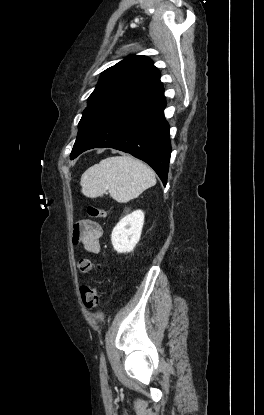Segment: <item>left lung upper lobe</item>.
<instances>
[{
  "instance_id": "obj_1",
  "label": "left lung upper lobe",
  "mask_w": 264,
  "mask_h": 415,
  "mask_svg": "<svg viewBox=\"0 0 264 415\" xmlns=\"http://www.w3.org/2000/svg\"><path fill=\"white\" fill-rule=\"evenodd\" d=\"M160 82V73L147 56L132 55L105 70L78 124L71 159L99 118L111 107Z\"/></svg>"
}]
</instances>
